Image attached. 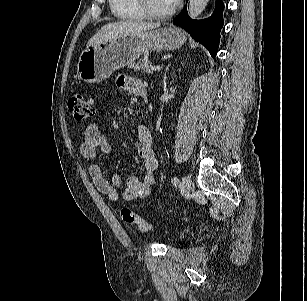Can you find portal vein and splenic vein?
Returning a JSON list of instances; mask_svg holds the SVG:
<instances>
[{
  "label": "portal vein and splenic vein",
  "instance_id": "portal-vein-and-splenic-vein-1",
  "mask_svg": "<svg viewBox=\"0 0 307 301\" xmlns=\"http://www.w3.org/2000/svg\"><path fill=\"white\" fill-rule=\"evenodd\" d=\"M151 70L152 71H159L160 70V66H151Z\"/></svg>",
  "mask_w": 307,
  "mask_h": 301
}]
</instances>
